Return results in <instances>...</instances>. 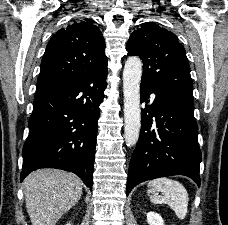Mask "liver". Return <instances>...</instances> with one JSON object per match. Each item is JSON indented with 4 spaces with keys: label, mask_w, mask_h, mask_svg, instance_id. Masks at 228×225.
Listing matches in <instances>:
<instances>
[{
    "label": "liver",
    "mask_w": 228,
    "mask_h": 225,
    "mask_svg": "<svg viewBox=\"0 0 228 225\" xmlns=\"http://www.w3.org/2000/svg\"><path fill=\"white\" fill-rule=\"evenodd\" d=\"M25 205L32 225H56L81 199L82 181L65 171L39 169L23 181Z\"/></svg>",
    "instance_id": "obj_1"
}]
</instances>
